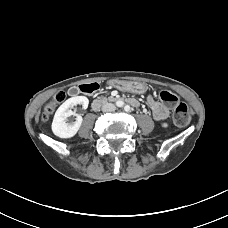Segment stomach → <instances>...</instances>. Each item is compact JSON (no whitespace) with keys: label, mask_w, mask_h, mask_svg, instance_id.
<instances>
[{"label":"stomach","mask_w":228,"mask_h":228,"mask_svg":"<svg viewBox=\"0 0 228 228\" xmlns=\"http://www.w3.org/2000/svg\"><path fill=\"white\" fill-rule=\"evenodd\" d=\"M125 87L128 91L136 94H143L147 90L146 84L138 81L127 82Z\"/></svg>","instance_id":"0dacf381"}]
</instances>
